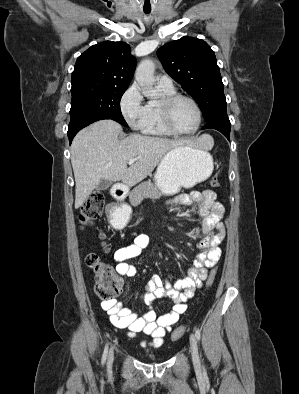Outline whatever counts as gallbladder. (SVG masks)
I'll list each match as a JSON object with an SVG mask.
<instances>
[{"instance_id": "bac80fb5", "label": "gallbladder", "mask_w": 299, "mask_h": 394, "mask_svg": "<svg viewBox=\"0 0 299 394\" xmlns=\"http://www.w3.org/2000/svg\"><path fill=\"white\" fill-rule=\"evenodd\" d=\"M111 185V181L107 180V179H102L99 183V185L96 187L97 191H102V190H106L110 187Z\"/></svg>"}]
</instances>
